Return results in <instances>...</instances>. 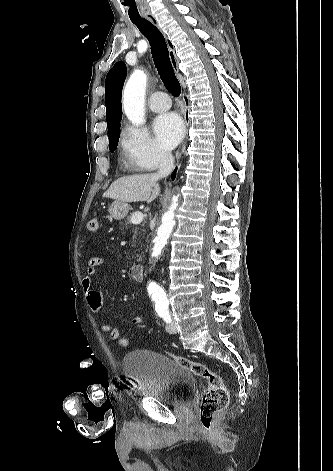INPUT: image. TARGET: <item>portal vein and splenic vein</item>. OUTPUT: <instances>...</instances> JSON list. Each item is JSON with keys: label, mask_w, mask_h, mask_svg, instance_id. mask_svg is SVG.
Instances as JSON below:
<instances>
[{"label": "portal vein and splenic vein", "mask_w": 333, "mask_h": 471, "mask_svg": "<svg viewBox=\"0 0 333 471\" xmlns=\"http://www.w3.org/2000/svg\"><path fill=\"white\" fill-rule=\"evenodd\" d=\"M143 220V213L142 212H135L131 216V223L132 224H140Z\"/></svg>", "instance_id": "portal-vein-and-splenic-vein-1"}]
</instances>
